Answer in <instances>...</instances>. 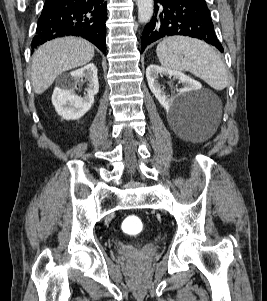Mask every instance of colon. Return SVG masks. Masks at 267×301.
<instances>
[{"instance_id":"colon-1","label":"colon","mask_w":267,"mask_h":301,"mask_svg":"<svg viewBox=\"0 0 267 301\" xmlns=\"http://www.w3.org/2000/svg\"><path fill=\"white\" fill-rule=\"evenodd\" d=\"M122 230L128 235H137L143 229L141 219L136 215L127 216L122 222Z\"/></svg>"}]
</instances>
